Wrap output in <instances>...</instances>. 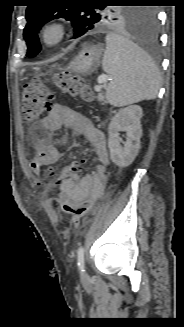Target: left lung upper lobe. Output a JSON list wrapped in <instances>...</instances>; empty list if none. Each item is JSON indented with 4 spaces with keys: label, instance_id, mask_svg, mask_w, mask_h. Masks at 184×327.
<instances>
[{
    "label": "left lung upper lobe",
    "instance_id": "left-lung-upper-lobe-1",
    "mask_svg": "<svg viewBox=\"0 0 184 327\" xmlns=\"http://www.w3.org/2000/svg\"><path fill=\"white\" fill-rule=\"evenodd\" d=\"M48 0H34L26 10L27 24L23 37L27 44V56L34 57L41 46L37 31L47 22L56 18L71 21L75 35H84L89 30L102 25L127 24L136 26L142 20L145 9L111 7L110 3H132L135 0H99L97 4H87V0H75L74 5H48Z\"/></svg>",
    "mask_w": 184,
    "mask_h": 327
}]
</instances>
